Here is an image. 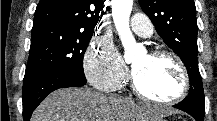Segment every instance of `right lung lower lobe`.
<instances>
[{
  "label": "right lung lower lobe",
  "instance_id": "right-lung-lower-lobe-1",
  "mask_svg": "<svg viewBox=\"0 0 217 121\" xmlns=\"http://www.w3.org/2000/svg\"><path fill=\"white\" fill-rule=\"evenodd\" d=\"M86 82L85 77L62 69L46 70L24 77L22 90L24 121L30 120L35 108L52 91L65 87H80Z\"/></svg>",
  "mask_w": 217,
  "mask_h": 121
}]
</instances>
